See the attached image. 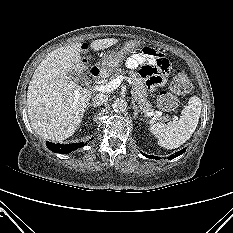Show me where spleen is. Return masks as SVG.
I'll return each mask as SVG.
<instances>
[{
  "instance_id": "spleen-1",
  "label": "spleen",
  "mask_w": 233,
  "mask_h": 233,
  "mask_svg": "<svg viewBox=\"0 0 233 233\" xmlns=\"http://www.w3.org/2000/svg\"><path fill=\"white\" fill-rule=\"evenodd\" d=\"M202 102L198 96L189 99L179 120L167 124L158 122L150 125V131L158 139V144L167 149H175L184 144L194 133L201 114Z\"/></svg>"
}]
</instances>
